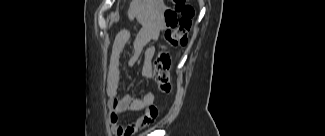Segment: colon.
I'll use <instances>...</instances> for the list:
<instances>
[{"instance_id":"1","label":"colon","mask_w":325,"mask_h":136,"mask_svg":"<svg viewBox=\"0 0 325 136\" xmlns=\"http://www.w3.org/2000/svg\"><path fill=\"white\" fill-rule=\"evenodd\" d=\"M173 6L164 13L165 32L162 44L153 60L152 72L158 89L163 94L171 92L172 84L169 74V46H186L189 43V31L192 27L194 9L187 0H171Z\"/></svg>"}]
</instances>
